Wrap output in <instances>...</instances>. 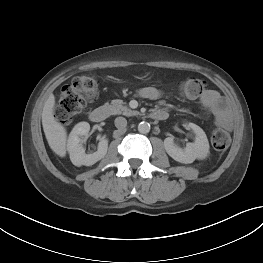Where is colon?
Instances as JSON below:
<instances>
[{
    "mask_svg": "<svg viewBox=\"0 0 263 263\" xmlns=\"http://www.w3.org/2000/svg\"><path fill=\"white\" fill-rule=\"evenodd\" d=\"M184 97L198 98L205 91V83L196 77H188L179 85ZM98 96V80L91 75L76 77L71 83L62 88L56 105V117L62 122L70 121L78 115L89 102ZM231 138L227 131L215 129L211 135V144L217 151L228 148Z\"/></svg>",
    "mask_w": 263,
    "mask_h": 263,
    "instance_id": "obj_1",
    "label": "colon"
}]
</instances>
